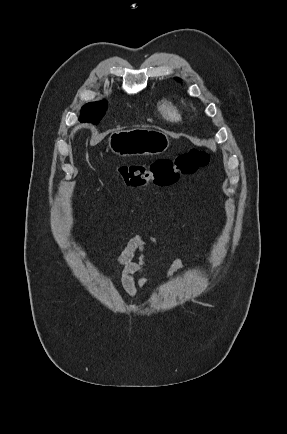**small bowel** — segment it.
Listing matches in <instances>:
<instances>
[{
    "instance_id": "obj_1",
    "label": "small bowel",
    "mask_w": 287,
    "mask_h": 434,
    "mask_svg": "<svg viewBox=\"0 0 287 434\" xmlns=\"http://www.w3.org/2000/svg\"><path fill=\"white\" fill-rule=\"evenodd\" d=\"M155 248H157V243L145 229L142 233H137L130 237L126 249L116 259V264L122 268V287L128 296L134 297L140 288L148 286L149 281L143 274L149 252ZM136 252H140V257L135 262L132 258ZM182 267V258L175 257L167 271V278H171Z\"/></svg>"
}]
</instances>
